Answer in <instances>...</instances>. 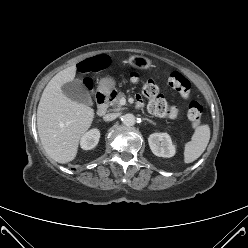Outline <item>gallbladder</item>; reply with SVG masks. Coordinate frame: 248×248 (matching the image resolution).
<instances>
[{"label":"gallbladder","instance_id":"obj_1","mask_svg":"<svg viewBox=\"0 0 248 248\" xmlns=\"http://www.w3.org/2000/svg\"><path fill=\"white\" fill-rule=\"evenodd\" d=\"M61 89L63 94L71 100L86 105H92L91 96L81 80L75 79L71 82H67Z\"/></svg>","mask_w":248,"mask_h":248}]
</instances>
